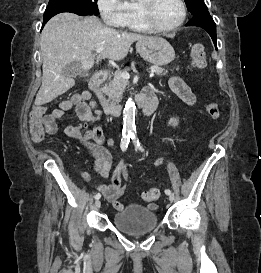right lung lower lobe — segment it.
Wrapping results in <instances>:
<instances>
[{"mask_svg": "<svg viewBox=\"0 0 261 273\" xmlns=\"http://www.w3.org/2000/svg\"><path fill=\"white\" fill-rule=\"evenodd\" d=\"M74 7V13L78 14V15H89L86 8L79 2H76ZM51 17H44V21H43V25L42 27L45 25V23H47V21L50 19Z\"/></svg>", "mask_w": 261, "mask_h": 273, "instance_id": "obj_1", "label": "right lung lower lobe"}]
</instances>
